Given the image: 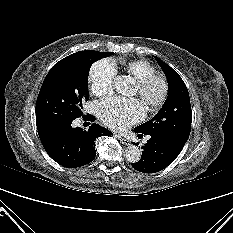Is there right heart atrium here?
I'll return each mask as SVG.
<instances>
[{
  "label": "right heart atrium",
  "mask_w": 233,
  "mask_h": 233,
  "mask_svg": "<svg viewBox=\"0 0 233 233\" xmlns=\"http://www.w3.org/2000/svg\"><path fill=\"white\" fill-rule=\"evenodd\" d=\"M116 75L117 67L111 60L102 59L95 62L89 72L92 92L102 96L112 91Z\"/></svg>",
  "instance_id": "d8ad5b80"
}]
</instances>
